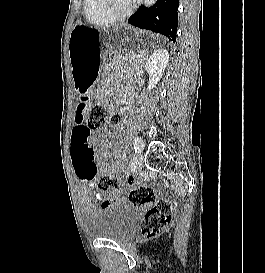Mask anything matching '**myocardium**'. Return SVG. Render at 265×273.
<instances>
[{"mask_svg": "<svg viewBox=\"0 0 265 273\" xmlns=\"http://www.w3.org/2000/svg\"><path fill=\"white\" fill-rule=\"evenodd\" d=\"M140 0H135L132 5L123 12H117L112 7V0H101L102 11L113 21H118L129 17L139 5Z\"/></svg>", "mask_w": 265, "mask_h": 273, "instance_id": "myocardium-1", "label": "myocardium"}]
</instances>
